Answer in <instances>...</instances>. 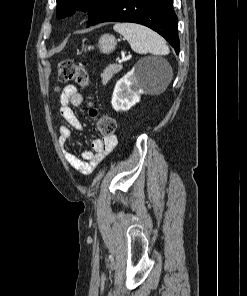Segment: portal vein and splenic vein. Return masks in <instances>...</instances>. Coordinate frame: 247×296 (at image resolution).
<instances>
[{"label":"portal vein and splenic vein","instance_id":"1","mask_svg":"<svg viewBox=\"0 0 247 296\" xmlns=\"http://www.w3.org/2000/svg\"><path fill=\"white\" fill-rule=\"evenodd\" d=\"M130 58H131V55H129V56H127V57H125V56L123 55V56H122V59L119 60V63L121 64L122 62L127 61V60H129Z\"/></svg>","mask_w":247,"mask_h":296}]
</instances>
